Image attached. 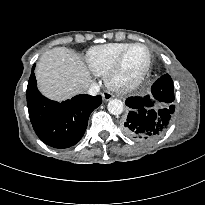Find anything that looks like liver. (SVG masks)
<instances>
[{
    "label": "liver",
    "mask_w": 205,
    "mask_h": 205,
    "mask_svg": "<svg viewBox=\"0 0 205 205\" xmlns=\"http://www.w3.org/2000/svg\"><path fill=\"white\" fill-rule=\"evenodd\" d=\"M35 75L40 91L57 101L84 92L90 83V73L81 57L65 47L45 52L37 64Z\"/></svg>",
    "instance_id": "1"
}]
</instances>
